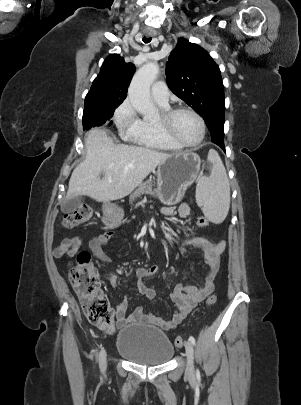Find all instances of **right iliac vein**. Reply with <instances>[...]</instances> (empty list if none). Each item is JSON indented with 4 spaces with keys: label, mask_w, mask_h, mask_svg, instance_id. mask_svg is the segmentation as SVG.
<instances>
[{
    "label": "right iliac vein",
    "mask_w": 301,
    "mask_h": 405,
    "mask_svg": "<svg viewBox=\"0 0 301 405\" xmlns=\"http://www.w3.org/2000/svg\"><path fill=\"white\" fill-rule=\"evenodd\" d=\"M99 363H100L101 370L105 371L107 368V354L104 349L101 350V352H100Z\"/></svg>",
    "instance_id": "1"
}]
</instances>
